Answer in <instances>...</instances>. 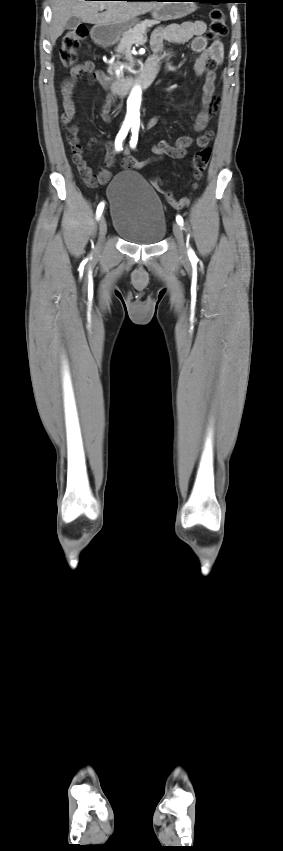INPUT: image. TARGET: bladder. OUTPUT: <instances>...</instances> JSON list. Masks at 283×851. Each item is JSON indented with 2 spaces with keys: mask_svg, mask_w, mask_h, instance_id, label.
Returning <instances> with one entry per match:
<instances>
[{
  "mask_svg": "<svg viewBox=\"0 0 283 851\" xmlns=\"http://www.w3.org/2000/svg\"><path fill=\"white\" fill-rule=\"evenodd\" d=\"M113 228L124 240L138 245L159 243L167 223L156 190L138 173L117 174L107 188Z\"/></svg>",
  "mask_w": 283,
  "mask_h": 851,
  "instance_id": "bladder-1",
  "label": "bladder"
}]
</instances>
